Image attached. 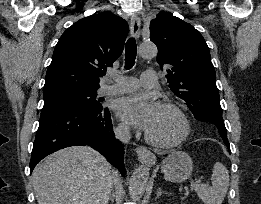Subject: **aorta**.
<instances>
[{
  "label": "aorta",
  "mask_w": 261,
  "mask_h": 204,
  "mask_svg": "<svg viewBox=\"0 0 261 204\" xmlns=\"http://www.w3.org/2000/svg\"><path fill=\"white\" fill-rule=\"evenodd\" d=\"M139 54L142 58H153L157 55V47L152 43H143L139 46ZM149 179V167L140 165L137 167L129 181V192L133 200H139L145 192Z\"/></svg>",
  "instance_id": "aorta-1"
}]
</instances>
